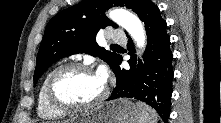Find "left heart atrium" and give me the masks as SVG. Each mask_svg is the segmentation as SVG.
<instances>
[{
    "label": "left heart atrium",
    "instance_id": "obj_1",
    "mask_svg": "<svg viewBox=\"0 0 221 123\" xmlns=\"http://www.w3.org/2000/svg\"><path fill=\"white\" fill-rule=\"evenodd\" d=\"M97 74H98V76L102 79V81L104 82V81H105V78H106L105 71L102 69V70H100Z\"/></svg>",
    "mask_w": 221,
    "mask_h": 123
}]
</instances>
